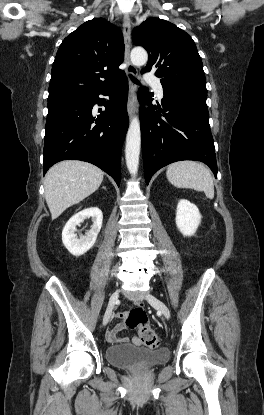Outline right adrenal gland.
Segmentation results:
<instances>
[{
    "mask_svg": "<svg viewBox=\"0 0 264 415\" xmlns=\"http://www.w3.org/2000/svg\"><path fill=\"white\" fill-rule=\"evenodd\" d=\"M102 188L106 190V187H102Z\"/></svg>",
    "mask_w": 264,
    "mask_h": 415,
    "instance_id": "obj_1",
    "label": "right adrenal gland"
}]
</instances>
